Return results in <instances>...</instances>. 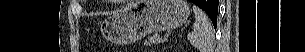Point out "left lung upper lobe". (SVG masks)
<instances>
[{
	"mask_svg": "<svg viewBox=\"0 0 305 52\" xmlns=\"http://www.w3.org/2000/svg\"><path fill=\"white\" fill-rule=\"evenodd\" d=\"M208 15L211 18L212 22H216L217 21V12L209 11Z\"/></svg>",
	"mask_w": 305,
	"mask_h": 52,
	"instance_id": "left-lung-upper-lobe-1",
	"label": "left lung upper lobe"
}]
</instances>
